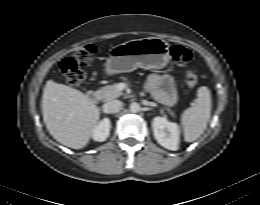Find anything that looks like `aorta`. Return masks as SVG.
I'll return each mask as SVG.
<instances>
[{"label": "aorta", "instance_id": "762f6f07", "mask_svg": "<svg viewBox=\"0 0 260 205\" xmlns=\"http://www.w3.org/2000/svg\"><path fill=\"white\" fill-rule=\"evenodd\" d=\"M130 111L133 113H137L140 111V105L136 102L130 104Z\"/></svg>", "mask_w": 260, "mask_h": 205}]
</instances>
